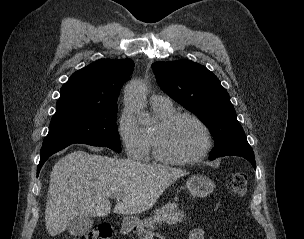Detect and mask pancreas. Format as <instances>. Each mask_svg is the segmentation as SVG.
Listing matches in <instances>:
<instances>
[{"label": "pancreas", "mask_w": 304, "mask_h": 239, "mask_svg": "<svg viewBox=\"0 0 304 239\" xmlns=\"http://www.w3.org/2000/svg\"><path fill=\"white\" fill-rule=\"evenodd\" d=\"M185 214L180 210L176 203H168L154 211V215L144 220H140L137 224V233L140 238L146 232V229H154L155 225L167 223L170 225L183 222Z\"/></svg>", "instance_id": "1"}]
</instances>
